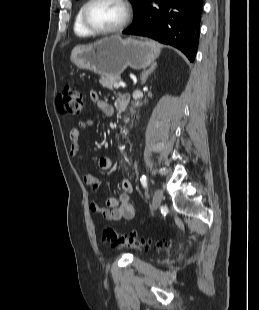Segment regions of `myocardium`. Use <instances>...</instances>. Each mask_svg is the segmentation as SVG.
Returning a JSON list of instances; mask_svg holds the SVG:
<instances>
[{"label":"myocardium","mask_w":259,"mask_h":310,"mask_svg":"<svg viewBox=\"0 0 259 310\" xmlns=\"http://www.w3.org/2000/svg\"><path fill=\"white\" fill-rule=\"evenodd\" d=\"M97 0H88L85 5L83 6L82 13H81V20L83 26L86 28L87 31H89L93 35H110V34H115L123 31L128 24L130 23L131 20V6L127 0H117L123 7L124 9V18L121 21L120 24L113 28H108V29H101L95 27L88 18V11L90 7L96 2Z\"/></svg>","instance_id":"obj_1"}]
</instances>
